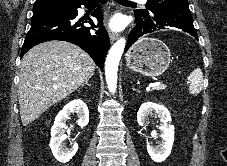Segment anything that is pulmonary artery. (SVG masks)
Segmentation results:
<instances>
[{"label":"pulmonary artery","instance_id":"obj_1","mask_svg":"<svg viewBox=\"0 0 227 166\" xmlns=\"http://www.w3.org/2000/svg\"><path fill=\"white\" fill-rule=\"evenodd\" d=\"M133 1H140L142 3H145L146 0H133Z\"/></svg>","mask_w":227,"mask_h":166}]
</instances>
